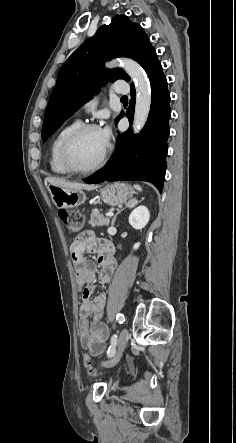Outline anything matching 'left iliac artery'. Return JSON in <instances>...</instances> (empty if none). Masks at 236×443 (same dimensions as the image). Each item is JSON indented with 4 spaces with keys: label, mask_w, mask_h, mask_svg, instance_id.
Returning <instances> with one entry per match:
<instances>
[{
    "label": "left iliac artery",
    "mask_w": 236,
    "mask_h": 443,
    "mask_svg": "<svg viewBox=\"0 0 236 443\" xmlns=\"http://www.w3.org/2000/svg\"><path fill=\"white\" fill-rule=\"evenodd\" d=\"M116 320H117L120 324H122V323L125 322V316H124L122 313H118V314L116 315ZM116 344H117V335L115 334V335H113V336L111 337V346L108 348V351H107V356H108V357H112V356H114V354H115V347H116Z\"/></svg>",
    "instance_id": "obj_1"
}]
</instances>
